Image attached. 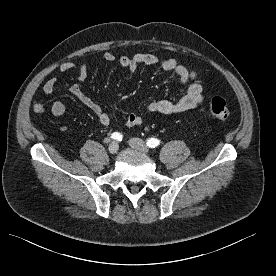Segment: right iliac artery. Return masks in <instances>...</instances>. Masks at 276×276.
I'll return each mask as SVG.
<instances>
[{"label":"right iliac artery","instance_id":"82829eb1","mask_svg":"<svg viewBox=\"0 0 276 276\" xmlns=\"http://www.w3.org/2000/svg\"><path fill=\"white\" fill-rule=\"evenodd\" d=\"M111 138L117 141H122L123 136L119 132H114L111 134Z\"/></svg>","mask_w":276,"mask_h":276}]
</instances>
